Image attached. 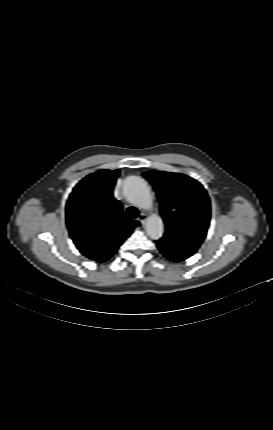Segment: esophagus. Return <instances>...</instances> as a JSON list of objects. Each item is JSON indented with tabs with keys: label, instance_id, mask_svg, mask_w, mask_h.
<instances>
[{
	"label": "esophagus",
	"instance_id": "obj_1",
	"mask_svg": "<svg viewBox=\"0 0 273 430\" xmlns=\"http://www.w3.org/2000/svg\"><path fill=\"white\" fill-rule=\"evenodd\" d=\"M147 215L144 213H141L140 216L138 217V220L141 222V224H145V222L147 221Z\"/></svg>",
	"mask_w": 273,
	"mask_h": 430
}]
</instances>
